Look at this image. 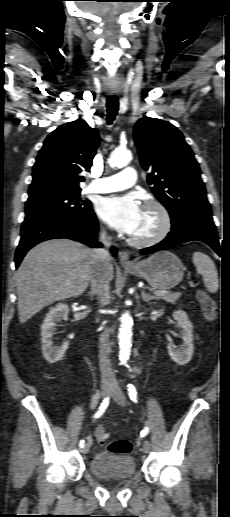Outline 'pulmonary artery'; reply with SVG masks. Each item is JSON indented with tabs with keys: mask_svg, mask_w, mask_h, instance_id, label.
<instances>
[{
	"mask_svg": "<svg viewBox=\"0 0 230 517\" xmlns=\"http://www.w3.org/2000/svg\"><path fill=\"white\" fill-rule=\"evenodd\" d=\"M136 180L135 170L128 167L120 173L91 181L88 186V191L94 193L120 191L132 187L136 183Z\"/></svg>",
	"mask_w": 230,
	"mask_h": 517,
	"instance_id": "obj_1",
	"label": "pulmonary artery"
}]
</instances>
